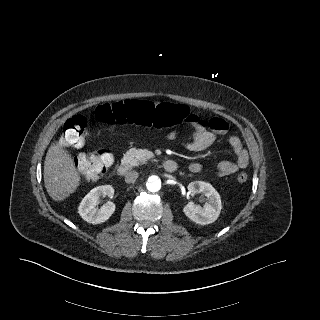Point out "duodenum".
<instances>
[{
    "instance_id": "duodenum-1",
    "label": "duodenum",
    "mask_w": 320,
    "mask_h": 320,
    "mask_svg": "<svg viewBox=\"0 0 320 320\" xmlns=\"http://www.w3.org/2000/svg\"><path fill=\"white\" fill-rule=\"evenodd\" d=\"M162 168L164 171H166L167 173H174L177 171L178 169V164L174 161V160H165L162 163ZM118 174L120 176H125L129 173V171L131 170V166L128 162L123 161L119 164L118 166Z\"/></svg>"
}]
</instances>
